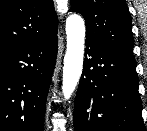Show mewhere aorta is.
<instances>
[{"mask_svg": "<svg viewBox=\"0 0 147 131\" xmlns=\"http://www.w3.org/2000/svg\"><path fill=\"white\" fill-rule=\"evenodd\" d=\"M67 49L64 57L62 92L68 100L74 92L83 68L85 24L72 14L66 20Z\"/></svg>", "mask_w": 147, "mask_h": 131, "instance_id": "aorta-1", "label": "aorta"}]
</instances>
